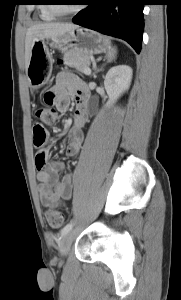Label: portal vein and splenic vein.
<instances>
[{"mask_svg":"<svg viewBox=\"0 0 181 300\" xmlns=\"http://www.w3.org/2000/svg\"><path fill=\"white\" fill-rule=\"evenodd\" d=\"M84 74L86 75H90L91 74V69L88 67V68H85L84 69Z\"/></svg>","mask_w":181,"mask_h":300,"instance_id":"portal-vein-and-splenic-vein-1","label":"portal vein and splenic vein"}]
</instances>
